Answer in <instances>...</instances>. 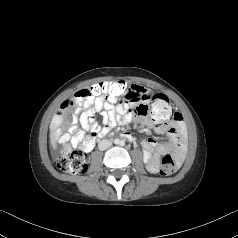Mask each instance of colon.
Instances as JSON below:
<instances>
[{
  "label": "colon",
  "mask_w": 238,
  "mask_h": 238,
  "mask_svg": "<svg viewBox=\"0 0 238 238\" xmlns=\"http://www.w3.org/2000/svg\"><path fill=\"white\" fill-rule=\"evenodd\" d=\"M129 88L123 81L106 80L94 84L88 88H84L75 93L72 101H95L101 100L106 102L116 103L121 98H124L128 93ZM139 108V107H138ZM138 108L136 111L139 113ZM151 117L158 122H169L174 119L176 113L173 106L165 95L157 94L152 98V108L149 113ZM89 141L88 138L83 140L85 143ZM77 149L71 150L68 148L63 155L55 160L56 167L70 174H83L87 170V155L83 145L77 146ZM177 163L175 158L167 153L162 157L160 174L168 176L176 171Z\"/></svg>",
  "instance_id": "obj_1"
}]
</instances>
